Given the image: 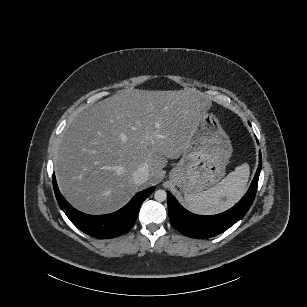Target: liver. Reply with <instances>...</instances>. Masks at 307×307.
<instances>
[{
    "instance_id": "obj_1",
    "label": "liver",
    "mask_w": 307,
    "mask_h": 307,
    "mask_svg": "<svg viewBox=\"0 0 307 307\" xmlns=\"http://www.w3.org/2000/svg\"><path fill=\"white\" fill-rule=\"evenodd\" d=\"M203 97L195 88L125 89L86 108L68 124L54 159L64 198L88 215L122 208L138 188L133 173L141 164L153 182L167 158L181 155L197 115L210 105Z\"/></svg>"
}]
</instances>
